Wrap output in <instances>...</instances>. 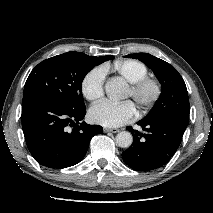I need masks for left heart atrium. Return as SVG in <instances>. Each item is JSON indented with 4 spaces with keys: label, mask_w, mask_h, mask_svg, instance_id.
<instances>
[{
    "label": "left heart atrium",
    "mask_w": 213,
    "mask_h": 213,
    "mask_svg": "<svg viewBox=\"0 0 213 213\" xmlns=\"http://www.w3.org/2000/svg\"><path fill=\"white\" fill-rule=\"evenodd\" d=\"M136 109L131 101L113 103L103 101L89 111L90 120L104 127H118L134 120Z\"/></svg>",
    "instance_id": "1"
}]
</instances>
